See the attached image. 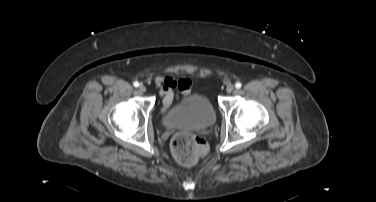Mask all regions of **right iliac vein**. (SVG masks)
I'll list each match as a JSON object with an SVG mask.
<instances>
[{
    "mask_svg": "<svg viewBox=\"0 0 376 202\" xmlns=\"http://www.w3.org/2000/svg\"><path fill=\"white\" fill-rule=\"evenodd\" d=\"M139 92L140 93H145L146 92V87L143 86V85H140L139 88H138Z\"/></svg>",
    "mask_w": 376,
    "mask_h": 202,
    "instance_id": "63e3f726",
    "label": "right iliac vein"
}]
</instances>
